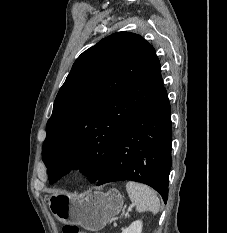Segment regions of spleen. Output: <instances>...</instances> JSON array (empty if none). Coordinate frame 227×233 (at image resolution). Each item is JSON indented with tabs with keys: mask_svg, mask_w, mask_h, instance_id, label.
Masks as SVG:
<instances>
[{
	"mask_svg": "<svg viewBox=\"0 0 227 233\" xmlns=\"http://www.w3.org/2000/svg\"><path fill=\"white\" fill-rule=\"evenodd\" d=\"M126 190L130 200L136 205L137 212L150 211L153 214L159 212V198L150 187L129 181L126 183Z\"/></svg>",
	"mask_w": 227,
	"mask_h": 233,
	"instance_id": "obj_1",
	"label": "spleen"
}]
</instances>
